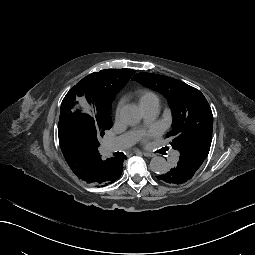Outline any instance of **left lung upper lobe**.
<instances>
[{
  "label": "left lung upper lobe",
  "instance_id": "5c2ea615",
  "mask_svg": "<svg viewBox=\"0 0 255 255\" xmlns=\"http://www.w3.org/2000/svg\"><path fill=\"white\" fill-rule=\"evenodd\" d=\"M132 80L167 98L173 122L166 137H173L171 145L180 152L178 163L193 176L206 159L212 141L213 115L206 98L198 89L163 75L137 73Z\"/></svg>",
  "mask_w": 255,
  "mask_h": 255
}]
</instances>
